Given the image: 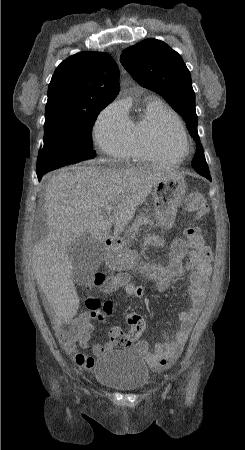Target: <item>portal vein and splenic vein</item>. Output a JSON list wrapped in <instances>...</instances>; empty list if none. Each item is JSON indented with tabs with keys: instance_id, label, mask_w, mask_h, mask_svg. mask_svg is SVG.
Wrapping results in <instances>:
<instances>
[{
	"instance_id": "obj_1",
	"label": "portal vein and splenic vein",
	"mask_w": 245,
	"mask_h": 450,
	"mask_svg": "<svg viewBox=\"0 0 245 450\" xmlns=\"http://www.w3.org/2000/svg\"><path fill=\"white\" fill-rule=\"evenodd\" d=\"M105 210H106L107 213H111V211L113 210V207L111 205H107L105 207Z\"/></svg>"
}]
</instances>
